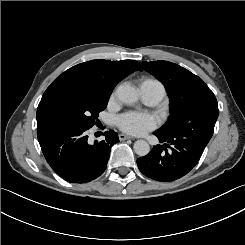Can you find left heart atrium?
<instances>
[{
  "label": "left heart atrium",
  "instance_id": "1",
  "mask_svg": "<svg viewBox=\"0 0 245 245\" xmlns=\"http://www.w3.org/2000/svg\"><path fill=\"white\" fill-rule=\"evenodd\" d=\"M118 125L128 134L141 135L151 129L155 122L147 114L128 112L118 118Z\"/></svg>",
  "mask_w": 245,
  "mask_h": 245
}]
</instances>
